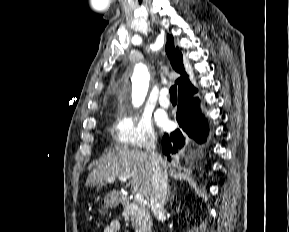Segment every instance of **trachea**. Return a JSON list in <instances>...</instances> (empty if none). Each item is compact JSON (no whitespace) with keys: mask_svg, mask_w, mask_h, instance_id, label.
<instances>
[{"mask_svg":"<svg viewBox=\"0 0 289 232\" xmlns=\"http://www.w3.org/2000/svg\"><path fill=\"white\" fill-rule=\"evenodd\" d=\"M170 98L171 99H177V86L176 85H173L171 88H170Z\"/></svg>","mask_w":289,"mask_h":232,"instance_id":"1","label":"trachea"}]
</instances>
